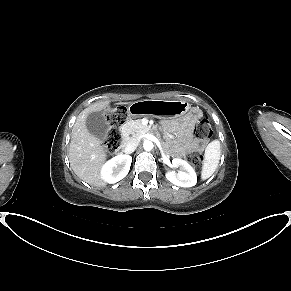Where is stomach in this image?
I'll use <instances>...</instances> for the list:
<instances>
[{
  "label": "stomach",
  "mask_w": 291,
  "mask_h": 291,
  "mask_svg": "<svg viewBox=\"0 0 291 291\" xmlns=\"http://www.w3.org/2000/svg\"><path fill=\"white\" fill-rule=\"evenodd\" d=\"M189 109H191V106L183 100H143L131 103L127 108V113L129 118L139 116H153L164 119L185 118Z\"/></svg>",
  "instance_id": "1"
}]
</instances>
